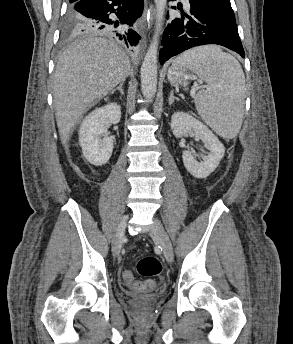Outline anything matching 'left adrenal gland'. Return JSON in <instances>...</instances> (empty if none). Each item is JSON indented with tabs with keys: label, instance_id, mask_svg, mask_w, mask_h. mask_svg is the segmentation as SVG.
<instances>
[{
	"label": "left adrenal gland",
	"instance_id": "left-adrenal-gland-1",
	"mask_svg": "<svg viewBox=\"0 0 293 344\" xmlns=\"http://www.w3.org/2000/svg\"><path fill=\"white\" fill-rule=\"evenodd\" d=\"M179 101V99L177 97L174 96L173 91L170 92V97H169V105H172L174 103V101Z\"/></svg>",
	"mask_w": 293,
	"mask_h": 344
}]
</instances>
